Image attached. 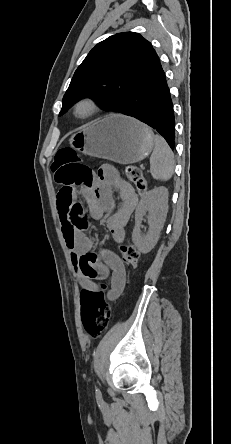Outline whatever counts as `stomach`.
Masks as SVG:
<instances>
[{"label": "stomach", "mask_w": 231, "mask_h": 444, "mask_svg": "<svg viewBox=\"0 0 231 444\" xmlns=\"http://www.w3.org/2000/svg\"><path fill=\"white\" fill-rule=\"evenodd\" d=\"M69 141L80 153L121 164L140 162L155 146L154 134L149 127L121 114L88 125Z\"/></svg>", "instance_id": "stomach-1"}]
</instances>
